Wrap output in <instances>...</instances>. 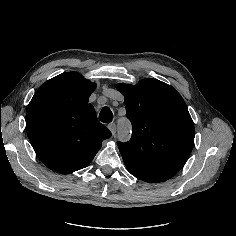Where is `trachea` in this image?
Returning <instances> with one entry per match:
<instances>
[{
  "mask_svg": "<svg viewBox=\"0 0 236 236\" xmlns=\"http://www.w3.org/2000/svg\"><path fill=\"white\" fill-rule=\"evenodd\" d=\"M113 119V113L108 107L102 108L99 114V120L103 123H110Z\"/></svg>",
  "mask_w": 236,
  "mask_h": 236,
  "instance_id": "obj_1",
  "label": "trachea"
}]
</instances>
